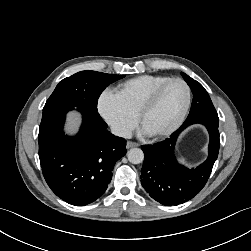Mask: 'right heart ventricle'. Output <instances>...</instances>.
<instances>
[{
  "mask_svg": "<svg viewBox=\"0 0 251 251\" xmlns=\"http://www.w3.org/2000/svg\"><path fill=\"white\" fill-rule=\"evenodd\" d=\"M170 79L166 75H141L129 79L115 88V93L123 104L134 114L150 93L163 82Z\"/></svg>",
  "mask_w": 251,
  "mask_h": 251,
  "instance_id": "right-heart-ventricle-1",
  "label": "right heart ventricle"
}]
</instances>
